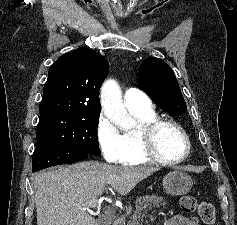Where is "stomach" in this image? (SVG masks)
Masks as SVG:
<instances>
[{
    "label": "stomach",
    "instance_id": "1",
    "mask_svg": "<svg viewBox=\"0 0 237 225\" xmlns=\"http://www.w3.org/2000/svg\"><path fill=\"white\" fill-rule=\"evenodd\" d=\"M164 189L173 196L188 193L192 187V178L185 172L174 170L165 175L162 181ZM131 208H128L130 212Z\"/></svg>",
    "mask_w": 237,
    "mask_h": 225
}]
</instances>
